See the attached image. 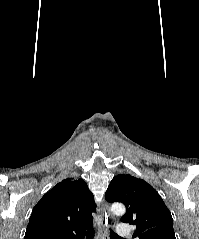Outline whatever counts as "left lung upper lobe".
I'll use <instances>...</instances> for the list:
<instances>
[{"instance_id": "obj_1", "label": "left lung upper lobe", "mask_w": 199, "mask_h": 239, "mask_svg": "<svg viewBox=\"0 0 199 239\" xmlns=\"http://www.w3.org/2000/svg\"><path fill=\"white\" fill-rule=\"evenodd\" d=\"M108 202H122L127 211L124 223L136 225L139 239H176L173 219L158 192L147 182L129 174L115 176L106 193Z\"/></svg>"}]
</instances>
